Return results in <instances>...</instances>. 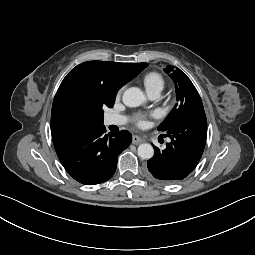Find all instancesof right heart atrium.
Segmentation results:
<instances>
[{"mask_svg":"<svg viewBox=\"0 0 255 255\" xmlns=\"http://www.w3.org/2000/svg\"><path fill=\"white\" fill-rule=\"evenodd\" d=\"M121 92H122V89L118 92V96H120V95H121Z\"/></svg>","mask_w":255,"mask_h":255,"instance_id":"right-heart-atrium-1","label":"right heart atrium"}]
</instances>
